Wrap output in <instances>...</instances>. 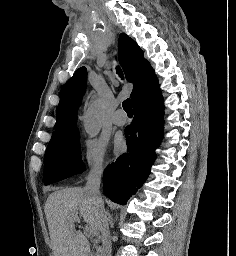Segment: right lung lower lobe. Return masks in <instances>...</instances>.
I'll use <instances>...</instances> for the list:
<instances>
[{
  "mask_svg": "<svg viewBox=\"0 0 236 256\" xmlns=\"http://www.w3.org/2000/svg\"><path fill=\"white\" fill-rule=\"evenodd\" d=\"M163 108L158 84L133 103L134 119L125 129L127 153L104 171L103 190L113 202L125 205L148 177L162 139Z\"/></svg>",
  "mask_w": 236,
  "mask_h": 256,
  "instance_id": "1",
  "label": "right lung lower lobe"
}]
</instances>
